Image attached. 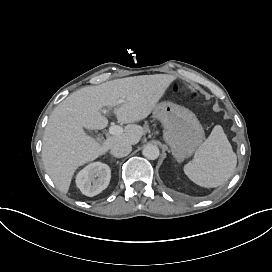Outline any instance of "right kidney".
Masks as SVG:
<instances>
[{
  "mask_svg": "<svg viewBox=\"0 0 272 272\" xmlns=\"http://www.w3.org/2000/svg\"><path fill=\"white\" fill-rule=\"evenodd\" d=\"M110 179V167L101 162H94L77 174L76 185L82 194L93 197L107 188Z\"/></svg>",
  "mask_w": 272,
  "mask_h": 272,
  "instance_id": "right-kidney-1",
  "label": "right kidney"
}]
</instances>
